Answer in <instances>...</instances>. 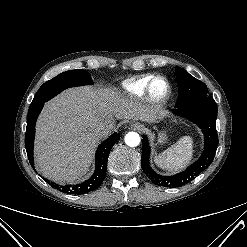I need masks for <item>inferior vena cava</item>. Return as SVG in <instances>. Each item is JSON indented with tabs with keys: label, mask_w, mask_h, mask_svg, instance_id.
<instances>
[{
	"label": "inferior vena cava",
	"mask_w": 247,
	"mask_h": 247,
	"mask_svg": "<svg viewBox=\"0 0 247 247\" xmlns=\"http://www.w3.org/2000/svg\"><path fill=\"white\" fill-rule=\"evenodd\" d=\"M109 126L106 125L105 123H98L95 127H94V132L96 135L102 137L105 136L106 134L109 133Z\"/></svg>",
	"instance_id": "inferior-vena-cava-1"
}]
</instances>
